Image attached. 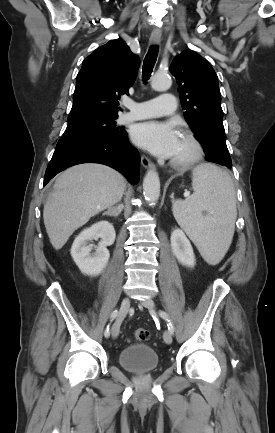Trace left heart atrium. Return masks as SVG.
Returning a JSON list of instances; mask_svg holds the SVG:
<instances>
[{"label":"left heart atrium","instance_id":"obj_1","mask_svg":"<svg viewBox=\"0 0 275 433\" xmlns=\"http://www.w3.org/2000/svg\"><path fill=\"white\" fill-rule=\"evenodd\" d=\"M131 137L138 146L163 158L173 157L179 141V134L173 124L157 120L138 123Z\"/></svg>","mask_w":275,"mask_h":433}]
</instances>
